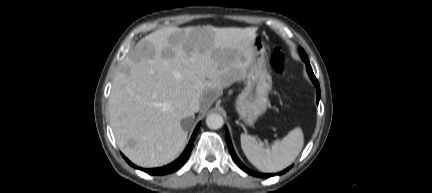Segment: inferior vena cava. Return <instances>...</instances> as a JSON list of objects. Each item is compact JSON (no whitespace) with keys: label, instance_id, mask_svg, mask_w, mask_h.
I'll return each mask as SVG.
<instances>
[{"label":"inferior vena cava","instance_id":"inferior-vena-cava-1","mask_svg":"<svg viewBox=\"0 0 432 193\" xmlns=\"http://www.w3.org/2000/svg\"><path fill=\"white\" fill-rule=\"evenodd\" d=\"M200 100L198 98H193L192 101L190 102V109L193 112H198L200 110Z\"/></svg>","mask_w":432,"mask_h":193}]
</instances>
